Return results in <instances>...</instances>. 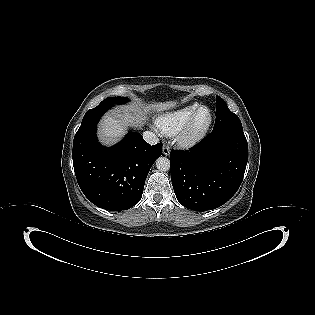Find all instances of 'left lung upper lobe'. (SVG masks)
Segmentation results:
<instances>
[{
    "mask_svg": "<svg viewBox=\"0 0 315 315\" xmlns=\"http://www.w3.org/2000/svg\"><path fill=\"white\" fill-rule=\"evenodd\" d=\"M216 103V121L213 131H218L224 128L243 129L238 116L229 110L227 104L221 97L216 96Z\"/></svg>",
    "mask_w": 315,
    "mask_h": 315,
    "instance_id": "5c2ea615",
    "label": "left lung upper lobe"
}]
</instances>
